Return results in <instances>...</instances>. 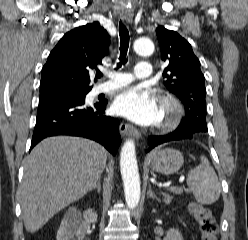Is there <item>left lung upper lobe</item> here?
Segmentation results:
<instances>
[{
	"label": "left lung upper lobe",
	"instance_id": "1",
	"mask_svg": "<svg viewBox=\"0 0 248 240\" xmlns=\"http://www.w3.org/2000/svg\"><path fill=\"white\" fill-rule=\"evenodd\" d=\"M156 34L161 58L166 64L164 85L181 100L186 110L185 119L177 130L207 132L205 78L198 58L189 42L177 32L159 26Z\"/></svg>",
	"mask_w": 248,
	"mask_h": 240
}]
</instances>
